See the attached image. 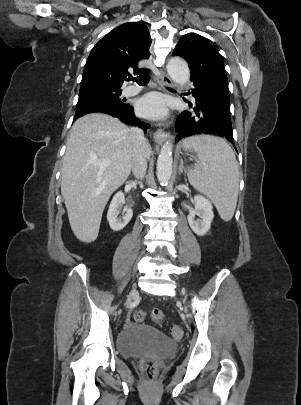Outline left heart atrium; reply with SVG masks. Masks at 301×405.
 I'll list each match as a JSON object with an SVG mask.
<instances>
[{
	"instance_id": "1",
	"label": "left heart atrium",
	"mask_w": 301,
	"mask_h": 405,
	"mask_svg": "<svg viewBox=\"0 0 301 405\" xmlns=\"http://www.w3.org/2000/svg\"><path fill=\"white\" fill-rule=\"evenodd\" d=\"M137 113L150 119H161L166 116L168 104L164 97L150 93L142 97L136 106Z\"/></svg>"
}]
</instances>
